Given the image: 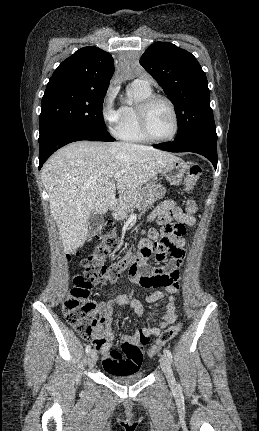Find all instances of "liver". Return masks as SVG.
Returning <instances> with one entry per match:
<instances>
[{"label": "liver", "instance_id": "obj_1", "mask_svg": "<svg viewBox=\"0 0 259 431\" xmlns=\"http://www.w3.org/2000/svg\"><path fill=\"white\" fill-rule=\"evenodd\" d=\"M179 158L152 147L126 142L78 141L54 153L42 168L50 210L65 253L88 238L91 212L104 214L115 201L116 188L139 190L163 167ZM124 171L115 185L113 175Z\"/></svg>", "mask_w": 259, "mask_h": 431}]
</instances>
